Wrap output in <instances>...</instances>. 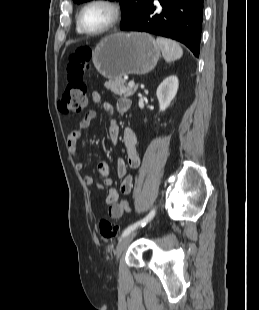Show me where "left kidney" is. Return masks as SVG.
Instances as JSON below:
<instances>
[{
    "label": "left kidney",
    "instance_id": "left-kidney-1",
    "mask_svg": "<svg viewBox=\"0 0 259 310\" xmlns=\"http://www.w3.org/2000/svg\"><path fill=\"white\" fill-rule=\"evenodd\" d=\"M179 81L177 76L171 75L164 79V81L157 88V98L159 101L160 111H165L171 101L175 98L178 91Z\"/></svg>",
    "mask_w": 259,
    "mask_h": 310
}]
</instances>
